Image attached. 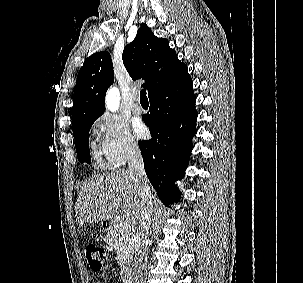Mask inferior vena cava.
Listing matches in <instances>:
<instances>
[{
  "label": "inferior vena cava",
  "mask_w": 303,
  "mask_h": 283,
  "mask_svg": "<svg viewBox=\"0 0 303 283\" xmlns=\"http://www.w3.org/2000/svg\"><path fill=\"white\" fill-rule=\"evenodd\" d=\"M128 167L130 176L134 181L138 182L139 180H143V182L147 183L140 189L142 215L140 219L139 230H145L148 232L150 223H147L146 220L148 219V216H150L153 206L152 198L150 195V186L148 185L143 158L138 146H131L129 148ZM146 251L147 249L144 246H138L135 249L132 283H146Z\"/></svg>",
  "instance_id": "1"
}]
</instances>
